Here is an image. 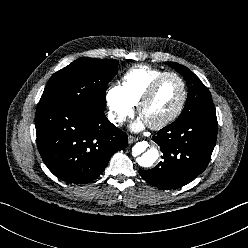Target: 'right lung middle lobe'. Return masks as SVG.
I'll list each match as a JSON object with an SVG mask.
<instances>
[{
  "label": "right lung middle lobe",
  "instance_id": "obj_1",
  "mask_svg": "<svg viewBox=\"0 0 248 248\" xmlns=\"http://www.w3.org/2000/svg\"><path fill=\"white\" fill-rule=\"evenodd\" d=\"M114 59L83 57L54 73L49 79L39 104L61 103L90 112H103L106 87L117 74Z\"/></svg>",
  "mask_w": 248,
  "mask_h": 248
}]
</instances>
